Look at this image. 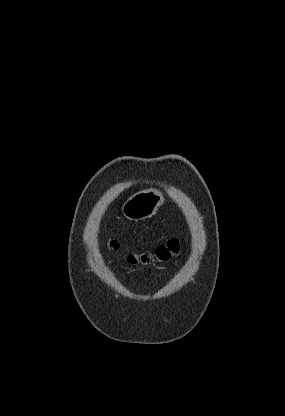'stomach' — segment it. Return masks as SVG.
<instances>
[{
  "label": "stomach",
  "instance_id": "0dacf381",
  "mask_svg": "<svg viewBox=\"0 0 285 416\" xmlns=\"http://www.w3.org/2000/svg\"><path fill=\"white\" fill-rule=\"evenodd\" d=\"M163 196L158 190H143L128 198L122 206V214L128 220H145L156 214L163 204Z\"/></svg>",
  "mask_w": 285,
  "mask_h": 416
}]
</instances>
